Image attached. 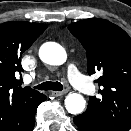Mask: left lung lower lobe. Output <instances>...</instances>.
<instances>
[{
	"mask_svg": "<svg viewBox=\"0 0 131 131\" xmlns=\"http://www.w3.org/2000/svg\"><path fill=\"white\" fill-rule=\"evenodd\" d=\"M73 121L80 131H114L88 111L74 117Z\"/></svg>",
	"mask_w": 131,
	"mask_h": 131,
	"instance_id": "1",
	"label": "left lung lower lobe"
}]
</instances>
